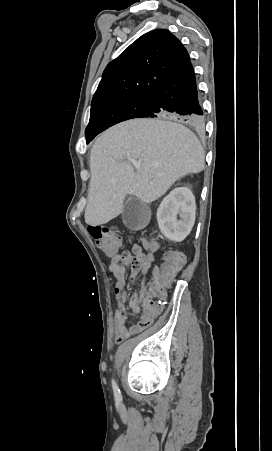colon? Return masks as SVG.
I'll use <instances>...</instances> for the list:
<instances>
[{
  "instance_id": "obj_1",
  "label": "colon",
  "mask_w": 272,
  "mask_h": 451,
  "mask_svg": "<svg viewBox=\"0 0 272 451\" xmlns=\"http://www.w3.org/2000/svg\"><path fill=\"white\" fill-rule=\"evenodd\" d=\"M88 231L95 240L98 247L103 249L105 256H114L116 249L119 247L120 235L113 229L106 226H89ZM150 247L154 246L153 242L149 243ZM119 259L114 258L110 262L109 268L112 271L120 269V263L125 267L133 270L146 271L148 269V258H137L135 254L129 251H122L118 254ZM164 258L166 262H162L161 269L155 273V280H151V288H142L139 294V305L133 307V312L137 313L141 310H156L163 303H170V294H167V288L170 287L174 278V271H184L185 265L182 262L184 253L182 251H174L170 249L165 251ZM149 325V321L140 320L133 328L127 329L122 326L121 332L117 336L119 340L127 337L129 331L138 332L145 329Z\"/></svg>"
}]
</instances>
